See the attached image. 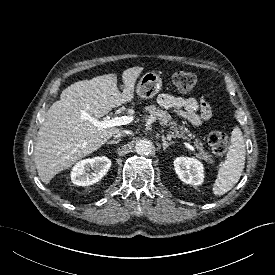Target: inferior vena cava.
I'll return each mask as SVG.
<instances>
[{
    "instance_id": "obj_1",
    "label": "inferior vena cava",
    "mask_w": 275,
    "mask_h": 275,
    "mask_svg": "<svg viewBox=\"0 0 275 275\" xmlns=\"http://www.w3.org/2000/svg\"><path fill=\"white\" fill-rule=\"evenodd\" d=\"M130 134H132V131H131V130H125V129H123V130H120V131L114 136V138L124 137V136L130 135Z\"/></svg>"
}]
</instances>
